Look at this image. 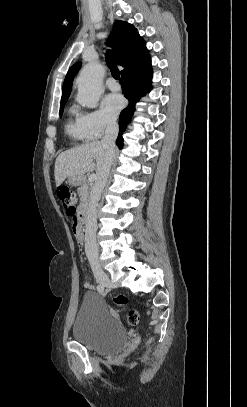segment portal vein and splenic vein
Masks as SVG:
<instances>
[{"mask_svg": "<svg viewBox=\"0 0 247 407\" xmlns=\"http://www.w3.org/2000/svg\"><path fill=\"white\" fill-rule=\"evenodd\" d=\"M96 178H97V175H96V174H91V175H89V177H88V179H89L90 182L95 181Z\"/></svg>", "mask_w": 247, "mask_h": 407, "instance_id": "18ae733b", "label": "portal vein and splenic vein"}]
</instances>
